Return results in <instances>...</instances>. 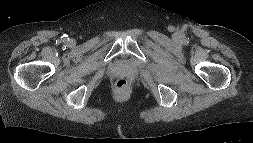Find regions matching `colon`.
Wrapping results in <instances>:
<instances>
[{"label":"colon","mask_w":253,"mask_h":143,"mask_svg":"<svg viewBox=\"0 0 253 143\" xmlns=\"http://www.w3.org/2000/svg\"><path fill=\"white\" fill-rule=\"evenodd\" d=\"M115 87L118 90H125L128 87V81L125 78H119L115 82Z\"/></svg>","instance_id":"5ec220e1"}]
</instances>
